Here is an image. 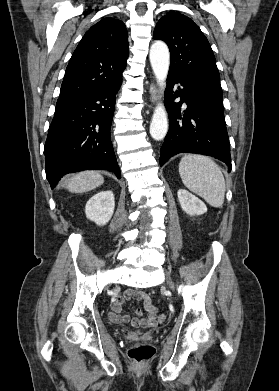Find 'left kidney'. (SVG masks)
Masks as SVG:
<instances>
[{
    "mask_svg": "<svg viewBox=\"0 0 279 391\" xmlns=\"http://www.w3.org/2000/svg\"><path fill=\"white\" fill-rule=\"evenodd\" d=\"M177 195L181 208L190 216L202 215L207 212L204 202L187 190L180 189Z\"/></svg>",
    "mask_w": 279,
    "mask_h": 391,
    "instance_id": "5707ae66",
    "label": "left kidney"
}]
</instances>
